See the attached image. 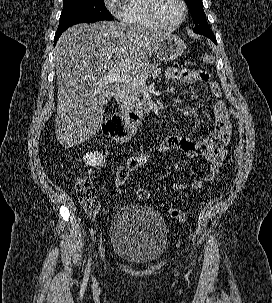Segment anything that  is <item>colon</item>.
I'll use <instances>...</instances> for the list:
<instances>
[{
    "instance_id": "colon-1",
    "label": "colon",
    "mask_w": 272,
    "mask_h": 303,
    "mask_svg": "<svg viewBox=\"0 0 272 303\" xmlns=\"http://www.w3.org/2000/svg\"><path fill=\"white\" fill-rule=\"evenodd\" d=\"M203 63L210 65L214 62V57L212 55H204ZM237 123L239 131V140L235 149L234 162L236 164H241L244 157L243 152V123L239 116L232 112ZM154 158L149 153H139L127 159V161L121 165L115 174L114 186L117 191H120L124 183L130 177L132 173L142 168H149L154 164ZM76 194L80 204L83 206L85 211L90 215H96L100 210V204L95 198V189L90 184L89 178L87 175H82L77 179L76 182ZM136 196L140 200H148L150 198L149 190L140 187L136 189ZM168 214L171 218L176 219L177 221L184 223L187 221V215L184 211L178 208H170Z\"/></svg>"
}]
</instances>
